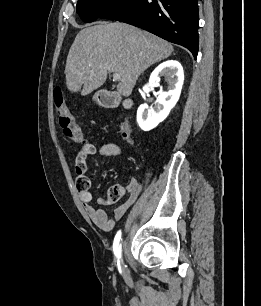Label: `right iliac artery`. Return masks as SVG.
<instances>
[{"mask_svg":"<svg viewBox=\"0 0 261 306\" xmlns=\"http://www.w3.org/2000/svg\"><path fill=\"white\" fill-rule=\"evenodd\" d=\"M121 230H119L114 238L113 242V251L116 257L117 265L120 268L121 256H122V246L120 244L121 241Z\"/></svg>","mask_w":261,"mask_h":306,"instance_id":"right-iliac-artery-1","label":"right iliac artery"}]
</instances>
